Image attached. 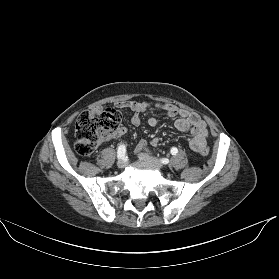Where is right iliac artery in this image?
Segmentation results:
<instances>
[{
  "instance_id": "82829eb1",
  "label": "right iliac artery",
  "mask_w": 279,
  "mask_h": 279,
  "mask_svg": "<svg viewBox=\"0 0 279 279\" xmlns=\"http://www.w3.org/2000/svg\"><path fill=\"white\" fill-rule=\"evenodd\" d=\"M125 154H126V147H125L124 144H122L118 147L117 158L118 159H123Z\"/></svg>"
}]
</instances>
